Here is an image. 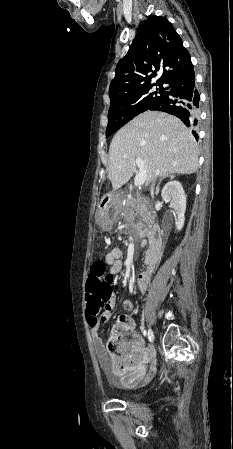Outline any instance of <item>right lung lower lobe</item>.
<instances>
[{"instance_id":"1","label":"right lung lower lobe","mask_w":233,"mask_h":449,"mask_svg":"<svg viewBox=\"0 0 233 449\" xmlns=\"http://www.w3.org/2000/svg\"><path fill=\"white\" fill-rule=\"evenodd\" d=\"M167 91L163 100L154 110L164 111L180 118L189 127V131L197 125L199 117L200 96L195 85L193 65L185 71L171 77L167 82ZM198 139L197 133L192 130Z\"/></svg>"}]
</instances>
